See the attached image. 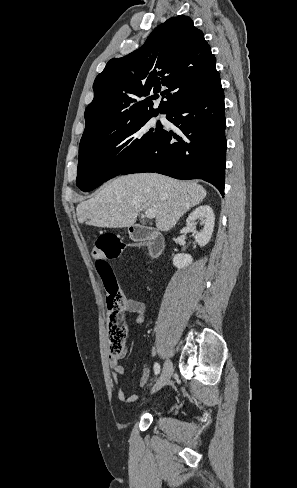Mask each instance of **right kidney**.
Returning a JSON list of instances; mask_svg holds the SVG:
<instances>
[{
	"mask_svg": "<svg viewBox=\"0 0 297 488\" xmlns=\"http://www.w3.org/2000/svg\"><path fill=\"white\" fill-rule=\"evenodd\" d=\"M199 219L203 224L201 231L196 230L195 221ZM215 216L212 208L209 205H203L193 210L187 220L186 228L193 233L195 241L200 247H204L211 239L214 230ZM193 262V258L189 254H176L173 258V265L178 269H183Z\"/></svg>",
	"mask_w": 297,
	"mask_h": 488,
	"instance_id": "right-kidney-1",
	"label": "right kidney"
}]
</instances>
